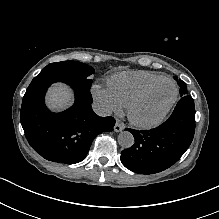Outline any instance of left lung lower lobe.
Here are the masks:
<instances>
[{"mask_svg":"<svg viewBox=\"0 0 219 219\" xmlns=\"http://www.w3.org/2000/svg\"><path fill=\"white\" fill-rule=\"evenodd\" d=\"M130 131L135 143L121 152V162L139 174H154L175 164L190 146L195 132V106L183 96L171 116L151 130Z\"/></svg>","mask_w":219,"mask_h":219,"instance_id":"0a47b994","label":"left lung lower lobe"}]
</instances>
